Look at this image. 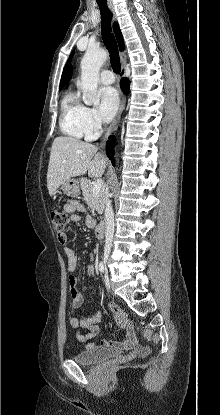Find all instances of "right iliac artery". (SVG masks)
<instances>
[{
	"instance_id": "1",
	"label": "right iliac artery",
	"mask_w": 220,
	"mask_h": 415,
	"mask_svg": "<svg viewBox=\"0 0 220 415\" xmlns=\"http://www.w3.org/2000/svg\"><path fill=\"white\" fill-rule=\"evenodd\" d=\"M99 271H100L101 273H103V272H104V265H103V263H102V262H100V263H99Z\"/></svg>"
}]
</instances>
